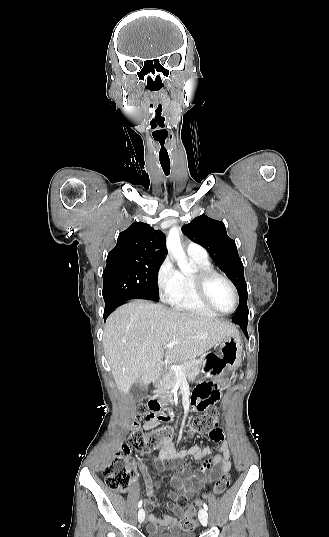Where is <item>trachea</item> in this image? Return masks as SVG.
<instances>
[{
	"label": "trachea",
	"mask_w": 329,
	"mask_h": 537,
	"mask_svg": "<svg viewBox=\"0 0 329 537\" xmlns=\"http://www.w3.org/2000/svg\"><path fill=\"white\" fill-rule=\"evenodd\" d=\"M162 169L165 173V175H169L170 173V163H161Z\"/></svg>",
	"instance_id": "3493384b"
}]
</instances>
